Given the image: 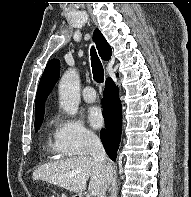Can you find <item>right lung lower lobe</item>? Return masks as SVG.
I'll list each match as a JSON object with an SVG mask.
<instances>
[{"label": "right lung lower lobe", "mask_w": 191, "mask_h": 197, "mask_svg": "<svg viewBox=\"0 0 191 197\" xmlns=\"http://www.w3.org/2000/svg\"><path fill=\"white\" fill-rule=\"evenodd\" d=\"M102 106L106 127L101 132V140L106 153L115 161L122 132V107L118 89L111 78L105 83Z\"/></svg>", "instance_id": "1"}]
</instances>
